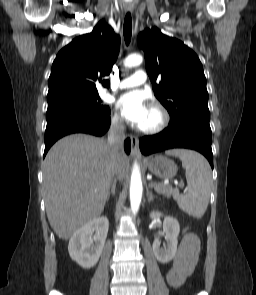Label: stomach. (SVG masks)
Segmentation results:
<instances>
[{
  "label": "stomach",
  "mask_w": 256,
  "mask_h": 295,
  "mask_svg": "<svg viewBox=\"0 0 256 295\" xmlns=\"http://www.w3.org/2000/svg\"><path fill=\"white\" fill-rule=\"evenodd\" d=\"M146 165L152 174L163 179L174 177L178 170L177 165L171 159L162 155L147 161Z\"/></svg>",
  "instance_id": "1"
}]
</instances>
